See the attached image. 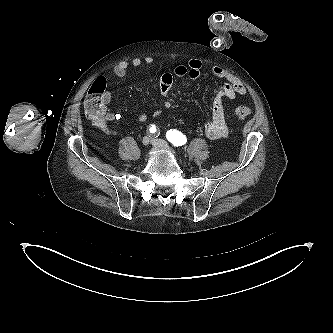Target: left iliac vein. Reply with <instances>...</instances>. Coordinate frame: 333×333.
I'll return each mask as SVG.
<instances>
[{
    "label": "left iliac vein",
    "instance_id": "left-iliac-vein-1",
    "mask_svg": "<svg viewBox=\"0 0 333 333\" xmlns=\"http://www.w3.org/2000/svg\"><path fill=\"white\" fill-rule=\"evenodd\" d=\"M152 144L157 147L168 148L167 142L162 139H152Z\"/></svg>",
    "mask_w": 333,
    "mask_h": 333
}]
</instances>
